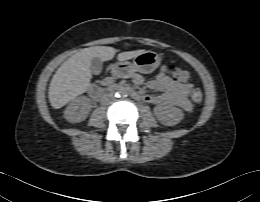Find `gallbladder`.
<instances>
[{
	"mask_svg": "<svg viewBox=\"0 0 260 202\" xmlns=\"http://www.w3.org/2000/svg\"><path fill=\"white\" fill-rule=\"evenodd\" d=\"M91 73L94 75H98L102 71V61L100 58H93L91 60V65H90Z\"/></svg>",
	"mask_w": 260,
	"mask_h": 202,
	"instance_id": "1",
	"label": "gallbladder"
}]
</instances>
